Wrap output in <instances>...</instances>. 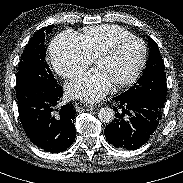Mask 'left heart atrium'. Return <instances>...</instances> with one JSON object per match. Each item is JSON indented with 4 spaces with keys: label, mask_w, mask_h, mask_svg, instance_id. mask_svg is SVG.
I'll return each instance as SVG.
<instances>
[{
    "label": "left heart atrium",
    "mask_w": 183,
    "mask_h": 183,
    "mask_svg": "<svg viewBox=\"0 0 183 183\" xmlns=\"http://www.w3.org/2000/svg\"><path fill=\"white\" fill-rule=\"evenodd\" d=\"M112 83L99 69L94 68L79 79L67 85V92L73 98L86 102H97L101 100L110 90Z\"/></svg>",
    "instance_id": "obj_1"
}]
</instances>
